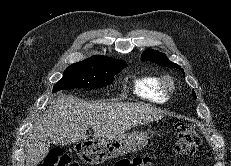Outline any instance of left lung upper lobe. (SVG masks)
<instances>
[{
    "instance_id": "1",
    "label": "left lung upper lobe",
    "mask_w": 231,
    "mask_h": 166,
    "mask_svg": "<svg viewBox=\"0 0 231 166\" xmlns=\"http://www.w3.org/2000/svg\"><path fill=\"white\" fill-rule=\"evenodd\" d=\"M145 60L151 61L153 63H157L161 66L180 68L179 65L169 61L165 54L160 53L157 50L144 51L142 54V61H145ZM183 75H185V74L183 73ZM192 93H193V96L196 98L195 92L192 91Z\"/></svg>"
}]
</instances>
